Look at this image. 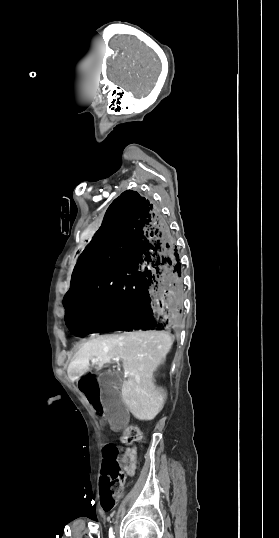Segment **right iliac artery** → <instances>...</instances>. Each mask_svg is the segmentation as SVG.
<instances>
[{
  "mask_svg": "<svg viewBox=\"0 0 279 538\" xmlns=\"http://www.w3.org/2000/svg\"><path fill=\"white\" fill-rule=\"evenodd\" d=\"M109 538H115L113 533V528L109 529Z\"/></svg>",
  "mask_w": 279,
  "mask_h": 538,
  "instance_id": "82829eb1",
  "label": "right iliac artery"
}]
</instances>
